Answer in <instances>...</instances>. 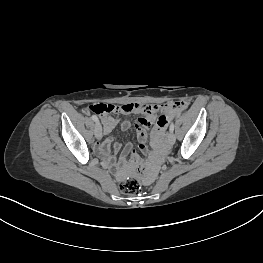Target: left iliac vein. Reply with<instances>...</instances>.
Returning <instances> with one entry per match:
<instances>
[{
	"label": "left iliac vein",
	"mask_w": 263,
	"mask_h": 263,
	"mask_svg": "<svg viewBox=\"0 0 263 263\" xmlns=\"http://www.w3.org/2000/svg\"><path fill=\"white\" fill-rule=\"evenodd\" d=\"M175 140H176L175 134H174L173 132H170V133L168 134V142H169L171 145H173V144L175 143Z\"/></svg>",
	"instance_id": "obj_1"
}]
</instances>
